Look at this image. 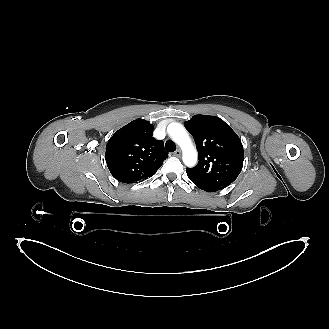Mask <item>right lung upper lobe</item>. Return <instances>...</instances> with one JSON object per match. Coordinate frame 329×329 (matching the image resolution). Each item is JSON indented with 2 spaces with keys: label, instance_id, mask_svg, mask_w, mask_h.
<instances>
[{
  "label": "right lung upper lobe",
  "instance_id": "obj_1",
  "mask_svg": "<svg viewBox=\"0 0 329 329\" xmlns=\"http://www.w3.org/2000/svg\"><path fill=\"white\" fill-rule=\"evenodd\" d=\"M167 155L163 142L153 137V125L144 119H136L109 139L105 159L118 181L136 183L153 176Z\"/></svg>",
  "mask_w": 329,
  "mask_h": 329
}]
</instances>
